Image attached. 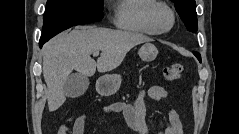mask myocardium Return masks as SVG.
Wrapping results in <instances>:
<instances>
[{
  "label": "myocardium",
  "mask_w": 239,
  "mask_h": 134,
  "mask_svg": "<svg viewBox=\"0 0 239 134\" xmlns=\"http://www.w3.org/2000/svg\"><path fill=\"white\" fill-rule=\"evenodd\" d=\"M158 9H165L169 12L171 16V23L170 26L166 29H161L157 26L155 16ZM146 21L149 24V26L152 28V30L155 32V34H166L169 33L175 26L176 23V15L174 10L163 1H154L152 4H150L146 11Z\"/></svg>",
  "instance_id": "f54148a6"
}]
</instances>
